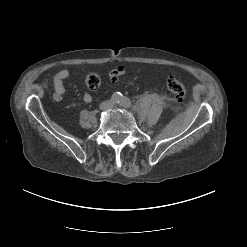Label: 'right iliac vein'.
I'll use <instances>...</instances> for the list:
<instances>
[{"label":"right iliac vein","mask_w":247,"mask_h":247,"mask_svg":"<svg viewBox=\"0 0 247 247\" xmlns=\"http://www.w3.org/2000/svg\"><path fill=\"white\" fill-rule=\"evenodd\" d=\"M109 106V104L107 102H104L100 105V109L104 110Z\"/></svg>","instance_id":"obj_1"}]
</instances>
